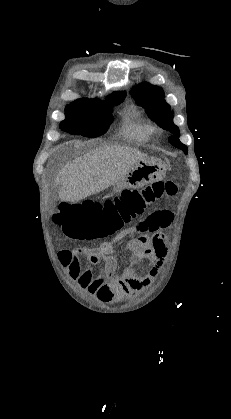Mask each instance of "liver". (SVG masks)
<instances>
[{"mask_svg":"<svg viewBox=\"0 0 231 419\" xmlns=\"http://www.w3.org/2000/svg\"><path fill=\"white\" fill-rule=\"evenodd\" d=\"M147 155L137 149L119 145L100 146L67 164L58 174L59 198L79 202L99 193L123 177Z\"/></svg>","mask_w":231,"mask_h":419,"instance_id":"6515ba94","label":"liver"}]
</instances>
